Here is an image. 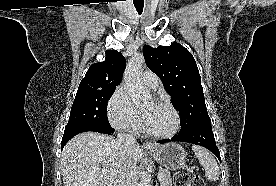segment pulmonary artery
Wrapping results in <instances>:
<instances>
[{
	"label": "pulmonary artery",
	"instance_id": "e3ab8cb5",
	"mask_svg": "<svg viewBox=\"0 0 276 186\" xmlns=\"http://www.w3.org/2000/svg\"><path fill=\"white\" fill-rule=\"evenodd\" d=\"M142 82L144 86L150 90H155L159 86L158 76L151 71H145L143 73Z\"/></svg>",
	"mask_w": 276,
	"mask_h": 186
}]
</instances>
